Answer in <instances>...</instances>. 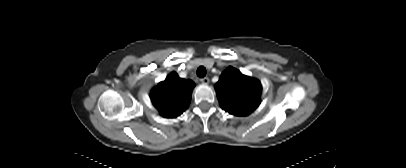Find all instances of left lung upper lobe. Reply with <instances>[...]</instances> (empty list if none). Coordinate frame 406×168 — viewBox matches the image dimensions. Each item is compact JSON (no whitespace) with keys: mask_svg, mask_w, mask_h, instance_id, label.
Instances as JSON below:
<instances>
[{"mask_svg":"<svg viewBox=\"0 0 406 168\" xmlns=\"http://www.w3.org/2000/svg\"><path fill=\"white\" fill-rule=\"evenodd\" d=\"M215 89L221 107L230 114L246 116L260 104V82L233 67H228L221 74Z\"/></svg>","mask_w":406,"mask_h":168,"instance_id":"obj_1","label":"left lung upper lobe"}]
</instances>
